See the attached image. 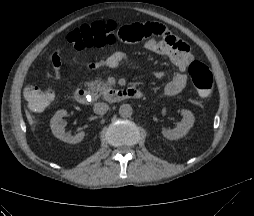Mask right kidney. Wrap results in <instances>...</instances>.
<instances>
[{
    "label": "right kidney",
    "instance_id": "ca27d5eb",
    "mask_svg": "<svg viewBox=\"0 0 254 216\" xmlns=\"http://www.w3.org/2000/svg\"><path fill=\"white\" fill-rule=\"evenodd\" d=\"M66 115H67L66 110H59L51 118L50 127L53 132V135L58 139L70 144L80 143L85 137V132L81 131L74 136L66 134L65 125L61 123L62 117H65Z\"/></svg>",
    "mask_w": 254,
    "mask_h": 216
}]
</instances>
